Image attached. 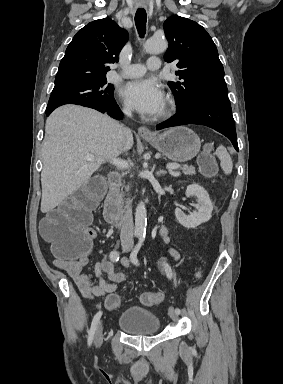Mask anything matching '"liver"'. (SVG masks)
I'll return each instance as SVG.
<instances>
[{
    "label": "liver",
    "mask_w": 283,
    "mask_h": 384,
    "mask_svg": "<svg viewBox=\"0 0 283 384\" xmlns=\"http://www.w3.org/2000/svg\"><path fill=\"white\" fill-rule=\"evenodd\" d=\"M119 128L120 124L106 114L74 104L60 106L47 118L48 138L42 146L43 214L88 182L101 164L132 148L131 132L126 144L117 142ZM87 154H93V162L87 160Z\"/></svg>",
    "instance_id": "6515ba94"
}]
</instances>
